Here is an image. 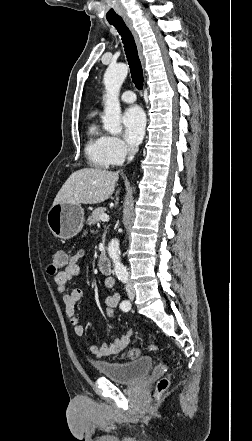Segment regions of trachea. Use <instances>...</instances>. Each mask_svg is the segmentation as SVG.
<instances>
[{
	"instance_id": "obj_1",
	"label": "trachea",
	"mask_w": 252,
	"mask_h": 441,
	"mask_svg": "<svg viewBox=\"0 0 252 441\" xmlns=\"http://www.w3.org/2000/svg\"><path fill=\"white\" fill-rule=\"evenodd\" d=\"M109 23L113 25L117 29L118 33L121 35L122 42L124 44L125 54L131 70L132 80L135 84V87L138 90H141L143 88L144 78L134 37L122 19L109 21Z\"/></svg>"
}]
</instances>
